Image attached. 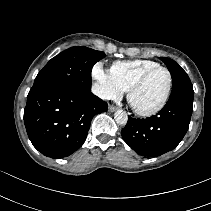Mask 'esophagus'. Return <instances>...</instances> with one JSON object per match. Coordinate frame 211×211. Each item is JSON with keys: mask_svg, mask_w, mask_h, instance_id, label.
Masks as SVG:
<instances>
[{"mask_svg": "<svg viewBox=\"0 0 211 211\" xmlns=\"http://www.w3.org/2000/svg\"><path fill=\"white\" fill-rule=\"evenodd\" d=\"M116 110H117V107H116V106L110 105V106L108 107V111H109V112H114V111H116Z\"/></svg>", "mask_w": 211, "mask_h": 211, "instance_id": "1", "label": "esophagus"}]
</instances>
